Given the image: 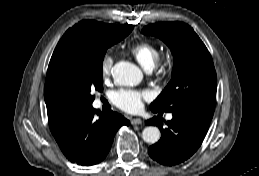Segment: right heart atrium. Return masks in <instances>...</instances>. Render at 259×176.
I'll return each instance as SVG.
<instances>
[{"mask_svg":"<svg viewBox=\"0 0 259 176\" xmlns=\"http://www.w3.org/2000/svg\"><path fill=\"white\" fill-rule=\"evenodd\" d=\"M113 63H114V60L111 55L106 54L103 57L100 65V72H101V76L104 79L108 78L111 75Z\"/></svg>","mask_w":259,"mask_h":176,"instance_id":"d8ad5b80","label":"right heart atrium"}]
</instances>
